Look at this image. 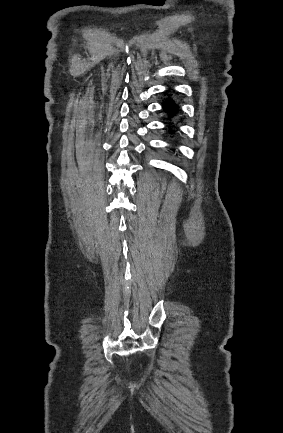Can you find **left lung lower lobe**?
<instances>
[{"label": "left lung lower lobe", "instance_id": "0a47b994", "mask_svg": "<svg viewBox=\"0 0 283 433\" xmlns=\"http://www.w3.org/2000/svg\"><path fill=\"white\" fill-rule=\"evenodd\" d=\"M163 108L164 110L170 114V116H174L175 113H177V106L174 102H172L170 99L167 100L164 104H163ZM173 132V130H170Z\"/></svg>", "mask_w": 283, "mask_h": 433}]
</instances>
